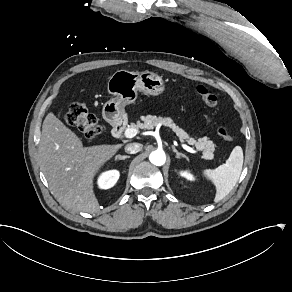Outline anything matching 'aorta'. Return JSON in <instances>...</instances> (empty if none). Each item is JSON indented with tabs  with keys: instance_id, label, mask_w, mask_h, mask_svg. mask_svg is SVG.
Instances as JSON below:
<instances>
[{
	"instance_id": "1",
	"label": "aorta",
	"mask_w": 292,
	"mask_h": 292,
	"mask_svg": "<svg viewBox=\"0 0 292 292\" xmlns=\"http://www.w3.org/2000/svg\"><path fill=\"white\" fill-rule=\"evenodd\" d=\"M149 160L152 164H154L156 166H161L165 163L166 156H165L164 152L157 150V151H154L150 154Z\"/></svg>"
}]
</instances>
